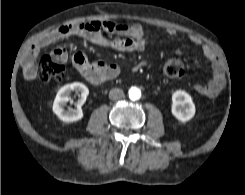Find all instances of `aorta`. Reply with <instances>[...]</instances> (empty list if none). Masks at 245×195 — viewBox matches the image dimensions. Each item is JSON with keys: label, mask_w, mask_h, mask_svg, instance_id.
<instances>
[{"label": "aorta", "mask_w": 245, "mask_h": 195, "mask_svg": "<svg viewBox=\"0 0 245 195\" xmlns=\"http://www.w3.org/2000/svg\"><path fill=\"white\" fill-rule=\"evenodd\" d=\"M128 96L132 101L138 100L141 97V91L137 87H131L128 91Z\"/></svg>", "instance_id": "aorta-1"}]
</instances>
